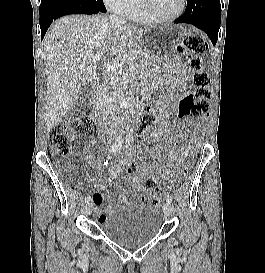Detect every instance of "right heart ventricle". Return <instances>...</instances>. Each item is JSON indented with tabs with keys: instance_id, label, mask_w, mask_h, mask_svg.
Here are the masks:
<instances>
[{
	"instance_id": "obj_1",
	"label": "right heart ventricle",
	"mask_w": 265,
	"mask_h": 273,
	"mask_svg": "<svg viewBox=\"0 0 265 273\" xmlns=\"http://www.w3.org/2000/svg\"><path fill=\"white\" fill-rule=\"evenodd\" d=\"M129 19L142 22V23H150L151 21L147 17V15L144 13L142 7H141V1L136 0L132 8L127 11L125 14Z\"/></svg>"
}]
</instances>
